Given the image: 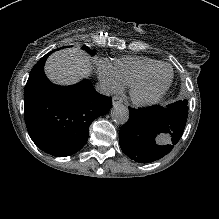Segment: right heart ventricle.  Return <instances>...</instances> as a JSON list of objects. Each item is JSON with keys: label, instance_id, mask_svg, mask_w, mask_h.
<instances>
[{"label": "right heart ventricle", "instance_id": "1", "mask_svg": "<svg viewBox=\"0 0 219 219\" xmlns=\"http://www.w3.org/2000/svg\"><path fill=\"white\" fill-rule=\"evenodd\" d=\"M159 61L143 56H127L113 62V72L117 79L125 86H131L148 69L157 65Z\"/></svg>", "mask_w": 219, "mask_h": 219}]
</instances>
